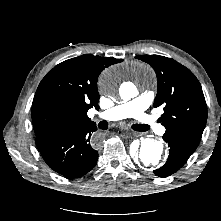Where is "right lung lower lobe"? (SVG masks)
Returning a JSON list of instances; mask_svg holds the SVG:
<instances>
[{"label": "right lung lower lobe", "instance_id": "98d812e1", "mask_svg": "<svg viewBox=\"0 0 221 221\" xmlns=\"http://www.w3.org/2000/svg\"><path fill=\"white\" fill-rule=\"evenodd\" d=\"M95 130V123L61 128L37 136L36 145L49 167L61 175L77 178L97 163Z\"/></svg>", "mask_w": 221, "mask_h": 221}]
</instances>
